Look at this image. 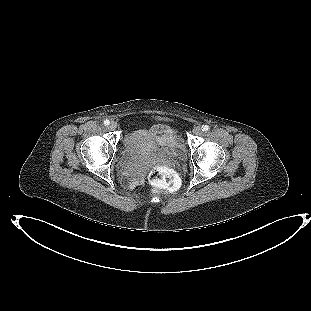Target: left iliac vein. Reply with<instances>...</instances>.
<instances>
[{"label": "left iliac vein", "instance_id": "left-iliac-vein-1", "mask_svg": "<svg viewBox=\"0 0 311 311\" xmlns=\"http://www.w3.org/2000/svg\"><path fill=\"white\" fill-rule=\"evenodd\" d=\"M202 133V128L200 126H196L193 129V134L200 135Z\"/></svg>", "mask_w": 311, "mask_h": 311}]
</instances>
